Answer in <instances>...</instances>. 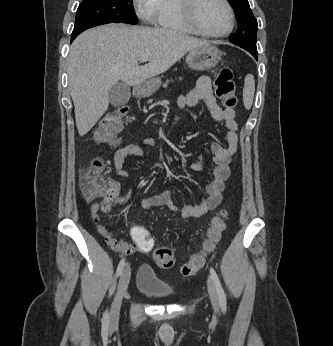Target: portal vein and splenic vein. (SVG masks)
Wrapping results in <instances>:
<instances>
[{
	"label": "portal vein and splenic vein",
	"instance_id": "1",
	"mask_svg": "<svg viewBox=\"0 0 333 346\" xmlns=\"http://www.w3.org/2000/svg\"><path fill=\"white\" fill-rule=\"evenodd\" d=\"M146 61H148V57H142L141 58V62H146Z\"/></svg>",
	"mask_w": 333,
	"mask_h": 346
}]
</instances>
